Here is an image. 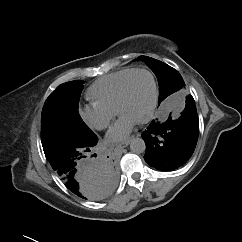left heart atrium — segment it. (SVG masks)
Here are the masks:
<instances>
[{"instance_id":"obj_1","label":"left heart atrium","mask_w":242,"mask_h":242,"mask_svg":"<svg viewBox=\"0 0 242 242\" xmlns=\"http://www.w3.org/2000/svg\"><path fill=\"white\" fill-rule=\"evenodd\" d=\"M137 121L134 119L121 115L119 120L111 127L107 134V138L110 142H118L124 140L133 130Z\"/></svg>"}]
</instances>
